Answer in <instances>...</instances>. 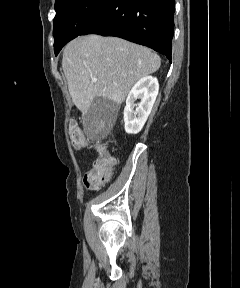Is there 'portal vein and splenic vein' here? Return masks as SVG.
<instances>
[{
  "label": "portal vein and splenic vein",
  "mask_w": 240,
  "mask_h": 288,
  "mask_svg": "<svg viewBox=\"0 0 240 288\" xmlns=\"http://www.w3.org/2000/svg\"><path fill=\"white\" fill-rule=\"evenodd\" d=\"M92 81H93V82H96V81H97V78H96V77H93V78H92Z\"/></svg>",
  "instance_id": "obj_1"
}]
</instances>
